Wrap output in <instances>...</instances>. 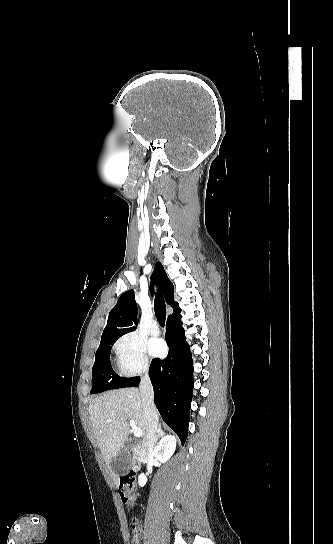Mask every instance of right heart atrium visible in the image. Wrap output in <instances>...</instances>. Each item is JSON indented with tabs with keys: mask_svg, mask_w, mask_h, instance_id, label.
Here are the masks:
<instances>
[{
	"mask_svg": "<svg viewBox=\"0 0 333 544\" xmlns=\"http://www.w3.org/2000/svg\"><path fill=\"white\" fill-rule=\"evenodd\" d=\"M115 364L123 377L145 374L149 370V361L143 340L134 332L120 336L113 345Z\"/></svg>",
	"mask_w": 333,
	"mask_h": 544,
	"instance_id": "obj_1",
	"label": "right heart atrium"
}]
</instances>
